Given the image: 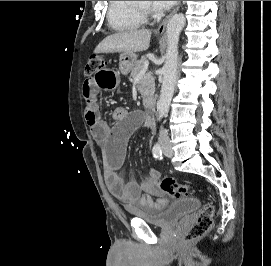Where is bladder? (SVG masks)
<instances>
[{
  "mask_svg": "<svg viewBox=\"0 0 271 266\" xmlns=\"http://www.w3.org/2000/svg\"><path fill=\"white\" fill-rule=\"evenodd\" d=\"M200 206V202L196 198H183L171 203L167 207L153 211L145 212L135 209H130V214L134 218L142 219L147 223L167 227L180 220L186 214L192 212Z\"/></svg>",
  "mask_w": 271,
  "mask_h": 266,
  "instance_id": "bladder-1",
  "label": "bladder"
}]
</instances>
